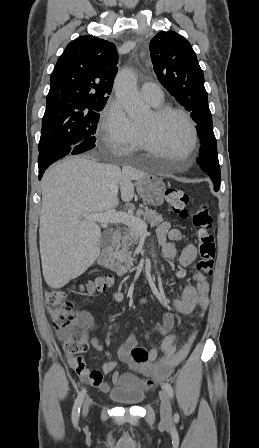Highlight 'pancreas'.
Masks as SVG:
<instances>
[{
    "mask_svg": "<svg viewBox=\"0 0 259 448\" xmlns=\"http://www.w3.org/2000/svg\"><path fill=\"white\" fill-rule=\"evenodd\" d=\"M143 218L146 220L148 224H150L151 228L154 226H158L163 222V218L160 214L158 216L156 210H148V208H144V210H137L136 218ZM139 232L137 230H132V228H128L123 232V238H121V246H118L120 250H117V260L119 262H123L125 264L126 270H130L131 266H133L134 258H132V246H134L135 242H138Z\"/></svg>",
    "mask_w": 259,
    "mask_h": 448,
    "instance_id": "obj_1",
    "label": "pancreas"
}]
</instances>
